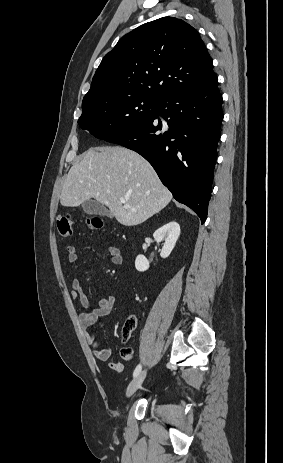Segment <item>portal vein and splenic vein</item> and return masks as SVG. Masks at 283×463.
I'll return each mask as SVG.
<instances>
[{
  "label": "portal vein and splenic vein",
  "instance_id": "obj_1",
  "mask_svg": "<svg viewBox=\"0 0 283 463\" xmlns=\"http://www.w3.org/2000/svg\"><path fill=\"white\" fill-rule=\"evenodd\" d=\"M120 201L124 204L125 207H128V205L126 204V200H125V199H120Z\"/></svg>",
  "mask_w": 283,
  "mask_h": 463
}]
</instances>
